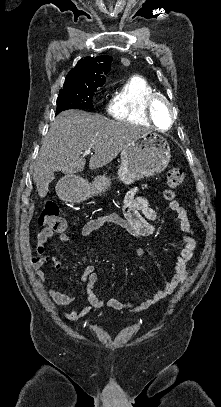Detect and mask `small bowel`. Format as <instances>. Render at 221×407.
Returning <instances> with one entry per match:
<instances>
[{"mask_svg": "<svg viewBox=\"0 0 221 407\" xmlns=\"http://www.w3.org/2000/svg\"><path fill=\"white\" fill-rule=\"evenodd\" d=\"M143 190L148 187L143 186ZM170 208L176 213L179 220L182 236V248L175 257L174 274L166 282L164 287L156 291L151 297L140 301L122 302L116 298H110L106 304L110 309L117 311H127L130 313H138L148 309L155 303L167 298L175 289L186 282L190 275L189 263L192 261L197 242L193 235L191 224L187 215V211L180 201L175 200L170 202ZM123 216L112 214L101 218H96L88 221L82 228L80 236L88 237L94 232L107 228L110 225H115L126 230L132 236L141 239L154 234L156 214L149 206L147 199L139 194V189L134 188L128 191L124 197ZM75 236L68 233H62L58 236L60 244L66 243ZM47 240L42 239L39 234L35 247V256L32 258V268L36 272L38 281L41 284L46 282V273L44 266L52 263L56 269H61V264L56 257L45 254V244ZM138 257L144 254L143 248L139 247L136 250ZM98 279L96 268L93 266L87 267L82 276L81 281L86 284L88 303L76 310L64 314V318L68 322H74L89 314L92 309L101 307L103 300L94 293V287ZM47 295L51 302L58 306H68L74 303L76 297L73 294L64 293L54 288L46 289Z\"/></svg>", "mask_w": 221, "mask_h": 407, "instance_id": "1", "label": "small bowel"}]
</instances>
